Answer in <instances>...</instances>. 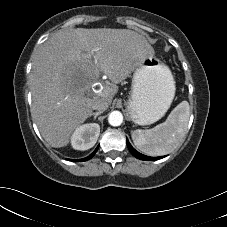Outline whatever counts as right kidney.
Wrapping results in <instances>:
<instances>
[{"instance_id": "obj_1", "label": "right kidney", "mask_w": 227, "mask_h": 227, "mask_svg": "<svg viewBox=\"0 0 227 227\" xmlns=\"http://www.w3.org/2000/svg\"><path fill=\"white\" fill-rule=\"evenodd\" d=\"M100 134V126L96 123L84 124L78 127L71 137L72 147L76 150L92 148Z\"/></svg>"}]
</instances>
